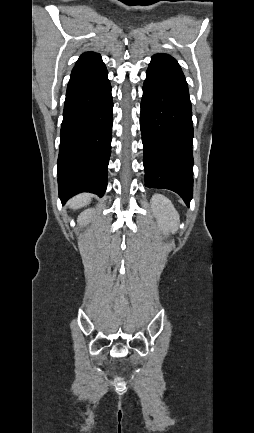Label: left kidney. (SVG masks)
Here are the masks:
<instances>
[{"instance_id": "obj_1", "label": "left kidney", "mask_w": 254, "mask_h": 433, "mask_svg": "<svg viewBox=\"0 0 254 433\" xmlns=\"http://www.w3.org/2000/svg\"><path fill=\"white\" fill-rule=\"evenodd\" d=\"M151 206L159 226L166 232H176L179 214L169 199L161 194H154Z\"/></svg>"}]
</instances>
